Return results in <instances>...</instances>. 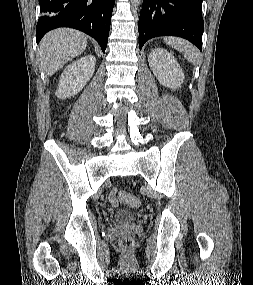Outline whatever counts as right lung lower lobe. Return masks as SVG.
<instances>
[{"instance_id":"98d812e1","label":"right lung lower lobe","mask_w":253,"mask_h":285,"mask_svg":"<svg viewBox=\"0 0 253 285\" xmlns=\"http://www.w3.org/2000/svg\"><path fill=\"white\" fill-rule=\"evenodd\" d=\"M114 4L115 0H40L37 43L54 28L71 27L92 36L105 52Z\"/></svg>"}]
</instances>
